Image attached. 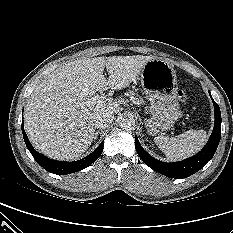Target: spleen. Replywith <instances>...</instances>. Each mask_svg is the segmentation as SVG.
I'll list each match as a JSON object with an SVG mask.
<instances>
[{
	"instance_id": "3e777b00",
	"label": "spleen",
	"mask_w": 233,
	"mask_h": 233,
	"mask_svg": "<svg viewBox=\"0 0 233 233\" xmlns=\"http://www.w3.org/2000/svg\"><path fill=\"white\" fill-rule=\"evenodd\" d=\"M204 130H188L178 136H157L155 144L170 160H183L198 152L206 143Z\"/></svg>"
}]
</instances>
